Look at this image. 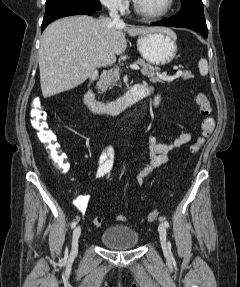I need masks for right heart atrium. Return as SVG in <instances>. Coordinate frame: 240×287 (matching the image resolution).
Returning a JSON list of instances; mask_svg holds the SVG:
<instances>
[{
    "mask_svg": "<svg viewBox=\"0 0 240 287\" xmlns=\"http://www.w3.org/2000/svg\"><path fill=\"white\" fill-rule=\"evenodd\" d=\"M100 2L112 11H123L127 6V0H100Z\"/></svg>",
    "mask_w": 240,
    "mask_h": 287,
    "instance_id": "obj_1",
    "label": "right heart atrium"
}]
</instances>
